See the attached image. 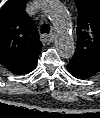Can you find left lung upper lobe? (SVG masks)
Segmentation results:
<instances>
[{
  "mask_svg": "<svg viewBox=\"0 0 100 118\" xmlns=\"http://www.w3.org/2000/svg\"><path fill=\"white\" fill-rule=\"evenodd\" d=\"M79 20L76 52L71 61L100 70V0H75Z\"/></svg>",
  "mask_w": 100,
  "mask_h": 118,
  "instance_id": "left-lung-upper-lobe-1",
  "label": "left lung upper lobe"
}]
</instances>
